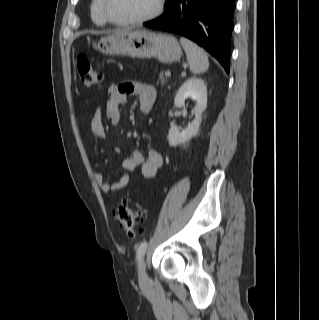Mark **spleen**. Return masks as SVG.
Wrapping results in <instances>:
<instances>
[{
  "mask_svg": "<svg viewBox=\"0 0 319 320\" xmlns=\"http://www.w3.org/2000/svg\"><path fill=\"white\" fill-rule=\"evenodd\" d=\"M180 42L185 49L191 72L194 74L205 72L209 67V60L205 51L185 37H181Z\"/></svg>",
  "mask_w": 319,
  "mask_h": 320,
  "instance_id": "spleen-1",
  "label": "spleen"
}]
</instances>
